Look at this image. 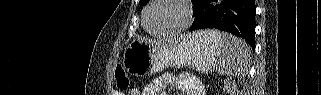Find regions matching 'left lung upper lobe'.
<instances>
[{"label": "left lung upper lobe", "instance_id": "1", "mask_svg": "<svg viewBox=\"0 0 321 95\" xmlns=\"http://www.w3.org/2000/svg\"><path fill=\"white\" fill-rule=\"evenodd\" d=\"M149 2V0H140V5H145Z\"/></svg>", "mask_w": 321, "mask_h": 95}]
</instances>
